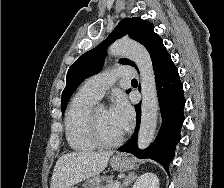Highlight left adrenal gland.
Returning a JSON list of instances; mask_svg holds the SVG:
<instances>
[{"label":"left adrenal gland","mask_w":224,"mask_h":188,"mask_svg":"<svg viewBox=\"0 0 224 188\" xmlns=\"http://www.w3.org/2000/svg\"><path fill=\"white\" fill-rule=\"evenodd\" d=\"M137 178V175L135 172H130L123 180L122 184L120 185V188H127L135 179Z\"/></svg>","instance_id":"a2214340"}]
</instances>
